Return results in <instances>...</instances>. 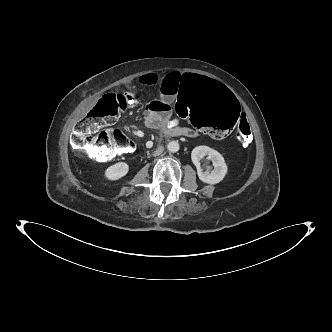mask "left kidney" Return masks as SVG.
<instances>
[{"label":"left kidney","mask_w":332,"mask_h":332,"mask_svg":"<svg viewBox=\"0 0 332 332\" xmlns=\"http://www.w3.org/2000/svg\"><path fill=\"white\" fill-rule=\"evenodd\" d=\"M205 156H207L208 160L212 161L214 166L213 170H211V166L205 165V171L201 167V161ZM191 159L197 168L199 179L204 183L217 184L224 179L227 173V164L223 156L218 151L208 146L200 145L195 147L192 150Z\"/></svg>","instance_id":"5707ae66"}]
</instances>
